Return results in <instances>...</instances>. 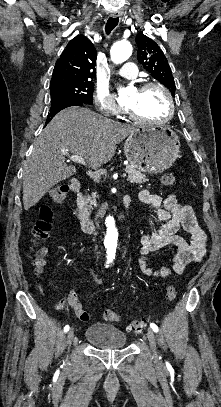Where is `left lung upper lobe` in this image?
Masks as SVG:
<instances>
[{"instance_id": "5c2ea615", "label": "left lung upper lobe", "mask_w": 221, "mask_h": 407, "mask_svg": "<svg viewBox=\"0 0 221 407\" xmlns=\"http://www.w3.org/2000/svg\"><path fill=\"white\" fill-rule=\"evenodd\" d=\"M136 43L138 46V61L156 80L165 85L174 95L176 87L171 68L158 44L143 33L137 34Z\"/></svg>"}]
</instances>
